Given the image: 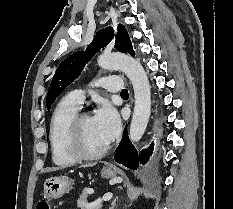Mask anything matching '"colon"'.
<instances>
[{
    "mask_svg": "<svg viewBox=\"0 0 233 209\" xmlns=\"http://www.w3.org/2000/svg\"><path fill=\"white\" fill-rule=\"evenodd\" d=\"M36 209H51L47 201H40L37 203Z\"/></svg>",
    "mask_w": 233,
    "mask_h": 209,
    "instance_id": "colon-1",
    "label": "colon"
}]
</instances>
